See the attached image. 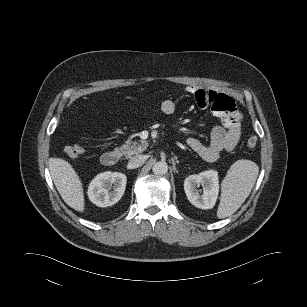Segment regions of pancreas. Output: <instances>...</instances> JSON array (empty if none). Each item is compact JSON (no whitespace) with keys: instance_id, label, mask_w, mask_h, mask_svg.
<instances>
[{"instance_id":"obj_1","label":"pancreas","mask_w":307,"mask_h":307,"mask_svg":"<svg viewBox=\"0 0 307 307\" xmlns=\"http://www.w3.org/2000/svg\"><path fill=\"white\" fill-rule=\"evenodd\" d=\"M148 146L149 144L145 140H140V141L128 140L125 142V144L122 145V147H120V151L126 158H129L132 155H137L139 153H142L147 149Z\"/></svg>"}]
</instances>
